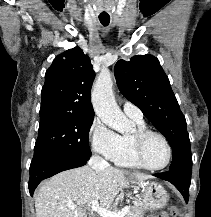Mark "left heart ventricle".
<instances>
[{
	"label": "left heart ventricle",
	"mask_w": 211,
	"mask_h": 217,
	"mask_svg": "<svg viewBox=\"0 0 211 217\" xmlns=\"http://www.w3.org/2000/svg\"><path fill=\"white\" fill-rule=\"evenodd\" d=\"M145 159L153 167L164 165L168 158V150L163 140L157 136L148 139L145 145Z\"/></svg>",
	"instance_id": "left-heart-ventricle-1"
}]
</instances>
